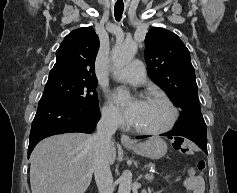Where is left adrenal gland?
<instances>
[{"label": "left adrenal gland", "instance_id": "left-adrenal-gland-1", "mask_svg": "<svg viewBox=\"0 0 237 193\" xmlns=\"http://www.w3.org/2000/svg\"><path fill=\"white\" fill-rule=\"evenodd\" d=\"M145 178H146L148 181H150V180L152 179V175L146 174V175H145Z\"/></svg>", "mask_w": 237, "mask_h": 193}]
</instances>
